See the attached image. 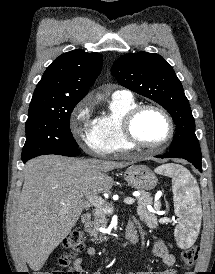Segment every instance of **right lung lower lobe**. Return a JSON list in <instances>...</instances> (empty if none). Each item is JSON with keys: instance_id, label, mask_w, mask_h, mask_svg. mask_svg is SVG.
I'll return each instance as SVG.
<instances>
[{"instance_id": "right-lung-lower-lobe-1", "label": "right lung lower lobe", "mask_w": 215, "mask_h": 274, "mask_svg": "<svg viewBox=\"0 0 215 274\" xmlns=\"http://www.w3.org/2000/svg\"><path fill=\"white\" fill-rule=\"evenodd\" d=\"M80 153V150L78 148L72 149V150H67V151H62V152H58L56 153L57 155H64V156H74ZM29 159H22V161L25 163L26 161H28Z\"/></svg>"}]
</instances>
